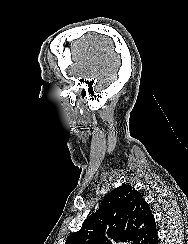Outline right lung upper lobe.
<instances>
[{
    "mask_svg": "<svg viewBox=\"0 0 188 244\" xmlns=\"http://www.w3.org/2000/svg\"><path fill=\"white\" fill-rule=\"evenodd\" d=\"M155 220L148 203L130 185L113 190L65 244H143Z\"/></svg>",
    "mask_w": 188,
    "mask_h": 244,
    "instance_id": "1",
    "label": "right lung upper lobe"
}]
</instances>
